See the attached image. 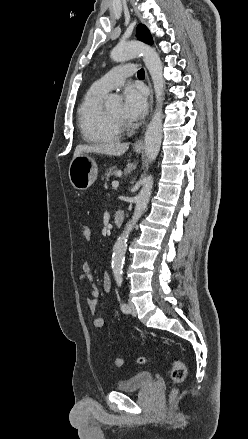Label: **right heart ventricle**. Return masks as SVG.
<instances>
[{
    "label": "right heart ventricle",
    "instance_id": "obj_1",
    "mask_svg": "<svg viewBox=\"0 0 248 439\" xmlns=\"http://www.w3.org/2000/svg\"><path fill=\"white\" fill-rule=\"evenodd\" d=\"M104 96L105 94L96 93L90 88L78 107V127L86 142L106 144L121 139V131L110 126L104 117Z\"/></svg>",
    "mask_w": 248,
    "mask_h": 439
}]
</instances>
